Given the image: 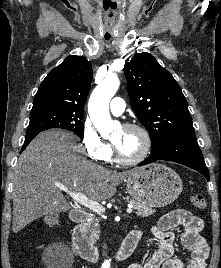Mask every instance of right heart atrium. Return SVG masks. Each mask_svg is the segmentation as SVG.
I'll return each mask as SVG.
<instances>
[{
	"mask_svg": "<svg viewBox=\"0 0 221 268\" xmlns=\"http://www.w3.org/2000/svg\"><path fill=\"white\" fill-rule=\"evenodd\" d=\"M81 140L86 154L92 160L103 162L110 158L111 145L101 138L89 118L83 122Z\"/></svg>",
	"mask_w": 221,
	"mask_h": 268,
	"instance_id": "right-heart-atrium-1",
	"label": "right heart atrium"
}]
</instances>
